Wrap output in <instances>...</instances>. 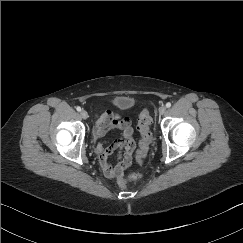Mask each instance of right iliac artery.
<instances>
[{"instance_id":"obj_1","label":"right iliac artery","mask_w":243,"mask_h":243,"mask_svg":"<svg viewBox=\"0 0 243 243\" xmlns=\"http://www.w3.org/2000/svg\"><path fill=\"white\" fill-rule=\"evenodd\" d=\"M76 110H77L78 112H80V111H81V107L77 106V107H76Z\"/></svg>"}]
</instances>
